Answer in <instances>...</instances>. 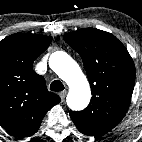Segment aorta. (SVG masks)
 Listing matches in <instances>:
<instances>
[{
  "instance_id": "1",
  "label": "aorta",
  "mask_w": 142,
  "mask_h": 142,
  "mask_svg": "<svg viewBox=\"0 0 142 142\" xmlns=\"http://www.w3.org/2000/svg\"><path fill=\"white\" fill-rule=\"evenodd\" d=\"M51 69L69 86L67 104L79 111L86 108L91 99L89 82L76 61L66 52L56 51L49 58Z\"/></svg>"
}]
</instances>
